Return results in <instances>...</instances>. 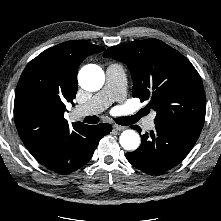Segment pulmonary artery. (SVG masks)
Listing matches in <instances>:
<instances>
[{"instance_id":"obj_1","label":"pulmonary artery","mask_w":221,"mask_h":221,"mask_svg":"<svg viewBox=\"0 0 221 221\" xmlns=\"http://www.w3.org/2000/svg\"><path fill=\"white\" fill-rule=\"evenodd\" d=\"M126 95L125 73L121 65L109 64L106 68L105 85L97 92L87 103L76 108L77 116L97 114L105 110L115 101H122ZM154 115H151L145 121V127L153 129Z\"/></svg>"}]
</instances>
